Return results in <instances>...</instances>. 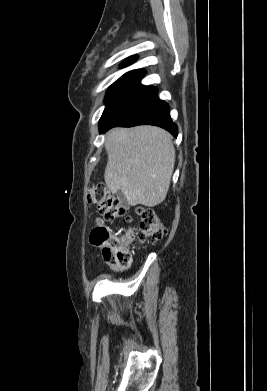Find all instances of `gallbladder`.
<instances>
[{"label":"gallbladder","instance_id":"gallbladder-1","mask_svg":"<svg viewBox=\"0 0 267 391\" xmlns=\"http://www.w3.org/2000/svg\"><path fill=\"white\" fill-rule=\"evenodd\" d=\"M117 198L123 203L126 201L124 194L120 190L117 192Z\"/></svg>","mask_w":267,"mask_h":391}]
</instances>
